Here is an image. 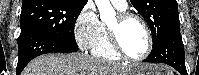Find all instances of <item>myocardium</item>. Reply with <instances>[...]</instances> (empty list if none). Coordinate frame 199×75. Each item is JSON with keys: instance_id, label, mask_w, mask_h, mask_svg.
I'll use <instances>...</instances> for the list:
<instances>
[{"instance_id": "f54148a6", "label": "myocardium", "mask_w": 199, "mask_h": 75, "mask_svg": "<svg viewBox=\"0 0 199 75\" xmlns=\"http://www.w3.org/2000/svg\"><path fill=\"white\" fill-rule=\"evenodd\" d=\"M129 20H136L137 22H139L141 24V26L143 27L145 34H146V37H147L146 51L142 55L136 56V57L130 56L125 51V49L123 48V46L120 42V39H119L118 28ZM107 32H108V36H109L111 45L114 48V50L117 52L118 55H120L122 58H124L126 60L142 61L150 55V53L153 49L152 32H151L147 22L142 17L138 16L137 14L130 13V12L119 13L116 16V25L113 26V27L108 25L107 26Z\"/></svg>"}]
</instances>
